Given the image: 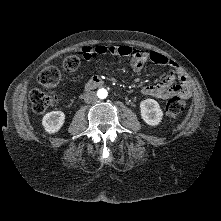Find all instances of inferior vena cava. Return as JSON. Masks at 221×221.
<instances>
[{
	"label": "inferior vena cava",
	"mask_w": 221,
	"mask_h": 221,
	"mask_svg": "<svg viewBox=\"0 0 221 221\" xmlns=\"http://www.w3.org/2000/svg\"><path fill=\"white\" fill-rule=\"evenodd\" d=\"M84 101L86 103H93V102H96L97 101V95L95 92L93 91H90V92H86L84 94Z\"/></svg>",
	"instance_id": "inferior-vena-cava-1"
}]
</instances>
